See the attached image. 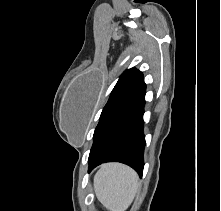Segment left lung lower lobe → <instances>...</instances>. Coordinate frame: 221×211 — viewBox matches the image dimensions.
<instances>
[{"mask_svg": "<svg viewBox=\"0 0 221 211\" xmlns=\"http://www.w3.org/2000/svg\"><path fill=\"white\" fill-rule=\"evenodd\" d=\"M146 85L140 94L122 109L93 143L89 171L105 162H121L143 174L145 136L143 113Z\"/></svg>", "mask_w": 221, "mask_h": 211, "instance_id": "obj_1", "label": "left lung lower lobe"}]
</instances>
